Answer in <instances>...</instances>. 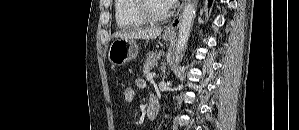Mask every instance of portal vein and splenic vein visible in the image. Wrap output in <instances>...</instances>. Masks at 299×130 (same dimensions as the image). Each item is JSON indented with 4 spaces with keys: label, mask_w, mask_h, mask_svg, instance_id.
<instances>
[{
    "label": "portal vein and splenic vein",
    "mask_w": 299,
    "mask_h": 130,
    "mask_svg": "<svg viewBox=\"0 0 299 130\" xmlns=\"http://www.w3.org/2000/svg\"><path fill=\"white\" fill-rule=\"evenodd\" d=\"M155 73H149V74H147L146 75V78L148 79V80H151L153 77H155Z\"/></svg>",
    "instance_id": "1"
}]
</instances>
